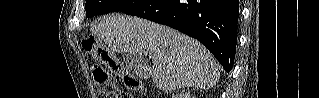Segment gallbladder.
Returning a JSON list of instances; mask_svg holds the SVG:
<instances>
[{
    "label": "gallbladder",
    "instance_id": "bac80fb5",
    "mask_svg": "<svg viewBox=\"0 0 319 98\" xmlns=\"http://www.w3.org/2000/svg\"><path fill=\"white\" fill-rule=\"evenodd\" d=\"M123 59H124L126 67L129 70H131L134 73H138L139 62H138V59L136 57H134L131 54L126 53L123 55Z\"/></svg>",
    "mask_w": 319,
    "mask_h": 98
}]
</instances>
